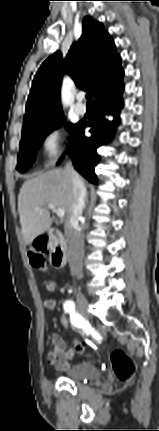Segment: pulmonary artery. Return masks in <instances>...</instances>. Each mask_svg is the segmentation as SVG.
<instances>
[{
	"mask_svg": "<svg viewBox=\"0 0 159 431\" xmlns=\"http://www.w3.org/2000/svg\"><path fill=\"white\" fill-rule=\"evenodd\" d=\"M82 99H83V95H81V94L78 95V97H77L78 102L74 106V111L78 115H84L87 111L85 105L82 104V102H81Z\"/></svg>",
	"mask_w": 159,
	"mask_h": 431,
	"instance_id": "pulmonary-artery-1",
	"label": "pulmonary artery"
}]
</instances>
